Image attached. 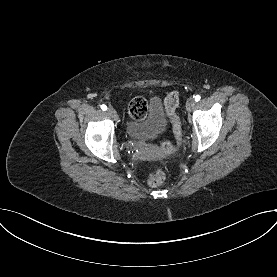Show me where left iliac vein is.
Wrapping results in <instances>:
<instances>
[{
	"label": "left iliac vein",
	"mask_w": 277,
	"mask_h": 277,
	"mask_svg": "<svg viewBox=\"0 0 277 277\" xmlns=\"http://www.w3.org/2000/svg\"><path fill=\"white\" fill-rule=\"evenodd\" d=\"M195 106V100L194 98L190 97L188 98L187 102H186V110L188 112H190Z\"/></svg>",
	"instance_id": "4c4485c4"
}]
</instances>
